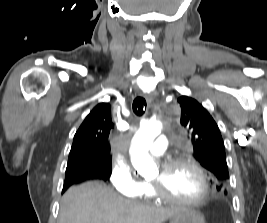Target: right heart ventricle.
I'll list each match as a JSON object with an SVG mask.
<instances>
[{
	"label": "right heart ventricle",
	"instance_id": "1",
	"mask_svg": "<svg viewBox=\"0 0 267 223\" xmlns=\"http://www.w3.org/2000/svg\"><path fill=\"white\" fill-rule=\"evenodd\" d=\"M139 196L146 198V199H153L154 198L151 187L148 183L143 182Z\"/></svg>",
	"mask_w": 267,
	"mask_h": 223
}]
</instances>
